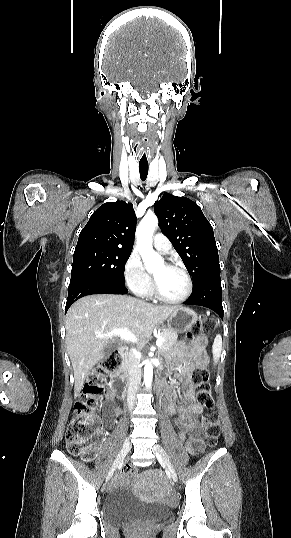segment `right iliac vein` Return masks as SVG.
<instances>
[{
  "mask_svg": "<svg viewBox=\"0 0 291 538\" xmlns=\"http://www.w3.org/2000/svg\"><path fill=\"white\" fill-rule=\"evenodd\" d=\"M130 449H131L130 440H129V438H126L123 445H122V448H121L119 454L117 455L116 459L114 460V463L112 464V466H111V468H110V470L108 472V475H107V478H106L107 481L112 477V475L115 472V470L117 469L118 465L122 462V460L128 454Z\"/></svg>",
  "mask_w": 291,
  "mask_h": 538,
  "instance_id": "1",
  "label": "right iliac vein"
}]
</instances>
